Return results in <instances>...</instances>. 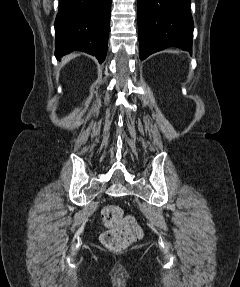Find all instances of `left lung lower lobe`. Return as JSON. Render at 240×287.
I'll return each mask as SVG.
<instances>
[{
  "mask_svg": "<svg viewBox=\"0 0 240 287\" xmlns=\"http://www.w3.org/2000/svg\"><path fill=\"white\" fill-rule=\"evenodd\" d=\"M191 0H137L140 59L167 47L192 53Z\"/></svg>",
  "mask_w": 240,
  "mask_h": 287,
  "instance_id": "0a47b994",
  "label": "left lung lower lobe"
}]
</instances>
